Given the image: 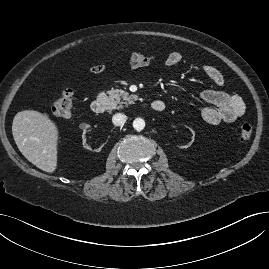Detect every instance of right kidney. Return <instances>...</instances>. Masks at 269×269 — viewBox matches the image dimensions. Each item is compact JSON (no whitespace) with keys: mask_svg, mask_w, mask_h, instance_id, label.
I'll use <instances>...</instances> for the list:
<instances>
[{"mask_svg":"<svg viewBox=\"0 0 269 269\" xmlns=\"http://www.w3.org/2000/svg\"><path fill=\"white\" fill-rule=\"evenodd\" d=\"M80 128L83 129V135H82V139H83V145L84 147H86L87 150L91 151L92 153H97L99 152L102 148L105 147V144L104 143H97V142H86V138H85V134H86V131L87 129L90 128V125L89 124H86V123H82L80 124Z\"/></svg>","mask_w":269,"mask_h":269,"instance_id":"right-kidney-1","label":"right kidney"}]
</instances>
